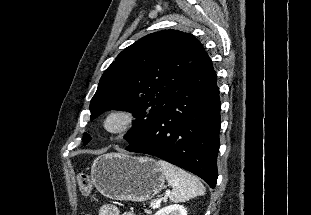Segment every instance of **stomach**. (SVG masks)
I'll use <instances>...</instances> for the list:
<instances>
[{
    "label": "stomach",
    "mask_w": 311,
    "mask_h": 215,
    "mask_svg": "<svg viewBox=\"0 0 311 215\" xmlns=\"http://www.w3.org/2000/svg\"><path fill=\"white\" fill-rule=\"evenodd\" d=\"M91 177L103 196L133 202L150 200L161 191L165 182V176L154 159L121 153L96 158Z\"/></svg>",
    "instance_id": "0dacf381"
}]
</instances>
